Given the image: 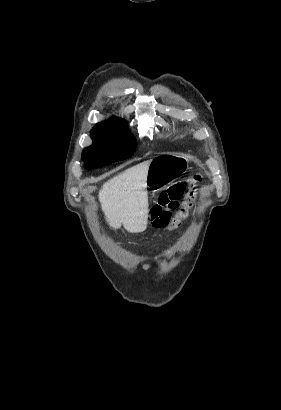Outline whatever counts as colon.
<instances>
[{
  "instance_id": "5ec220e1",
  "label": "colon",
  "mask_w": 281,
  "mask_h": 410,
  "mask_svg": "<svg viewBox=\"0 0 281 410\" xmlns=\"http://www.w3.org/2000/svg\"><path fill=\"white\" fill-rule=\"evenodd\" d=\"M191 180L193 187L189 190H186L185 182H179L160 194L151 211L152 223L156 228L175 229L187 217L189 209L196 199L197 189L195 185L200 182L201 176L195 174ZM171 210H177V213L172 215Z\"/></svg>"
}]
</instances>
